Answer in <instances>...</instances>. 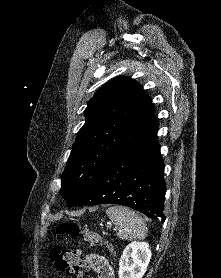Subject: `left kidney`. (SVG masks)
Segmentation results:
<instances>
[{
  "label": "left kidney",
  "instance_id": "obj_1",
  "mask_svg": "<svg viewBox=\"0 0 221 278\" xmlns=\"http://www.w3.org/2000/svg\"><path fill=\"white\" fill-rule=\"evenodd\" d=\"M146 242H131L126 246L119 261V278H142L151 259Z\"/></svg>",
  "mask_w": 221,
  "mask_h": 278
}]
</instances>
